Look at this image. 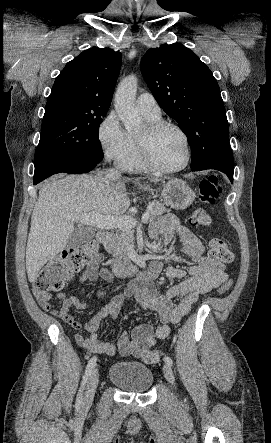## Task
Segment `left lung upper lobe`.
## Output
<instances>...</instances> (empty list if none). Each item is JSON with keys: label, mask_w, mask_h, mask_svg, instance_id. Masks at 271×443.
Returning a JSON list of instances; mask_svg holds the SVG:
<instances>
[{"label": "left lung upper lobe", "mask_w": 271, "mask_h": 443, "mask_svg": "<svg viewBox=\"0 0 271 443\" xmlns=\"http://www.w3.org/2000/svg\"><path fill=\"white\" fill-rule=\"evenodd\" d=\"M141 72L156 101L181 126L192 150L191 168L234 167L223 100L210 69L181 44L149 49Z\"/></svg>", "instance_id": "obj_1"}]
</instances>
